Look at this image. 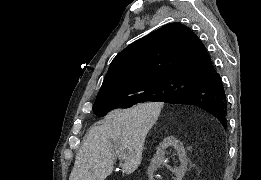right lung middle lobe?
I'll return each instance as SVG.
<instances>
[{
  "label": "right lung middle lobe",
  "mask_w": 261,
  "mask_h": 180,
  "mask_svg": "<svg viewBox=\"0 0 261 180\" xmlns=\"http://www.w3.org/2000/svg\"><path fill=\"white\" fill-rule=\"evenodd\" d=\"M196 82L185 80H162L124 87L97 96L93 111L97 116H105L117 108H129L145 101L166 102L172 97L193 90Z\"/></svg>",
  "instance_id": "right-lung-middle-lobe-1"
}]
</instances>
